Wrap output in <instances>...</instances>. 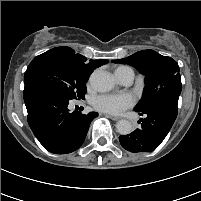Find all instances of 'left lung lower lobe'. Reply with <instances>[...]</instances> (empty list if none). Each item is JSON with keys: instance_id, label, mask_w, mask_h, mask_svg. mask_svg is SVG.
Masks as SVG:
<instances>
[{"instance_id": "0a47b994", "label": "left lung lower lobe", "mask_w": 201, "mask_h": 201, "mask_svg": "<svg viewBox=\"0 0 201 201\" xmlns=\"http://www.w3.org/2000/svg\"><path fill=\"white\" fill-rule=\"evenodd\" d=\"M178 103L160 101L137 111L145 115L141 127L128 135L119 137L122 147L130 152H152L164 140L177 117ZM139 121V123H140Z\"/></svg>"}]
</instances>
